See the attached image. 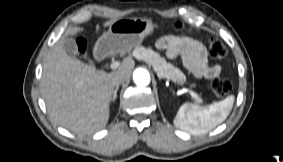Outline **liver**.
<instances>
[{
	"label": "liver",
	"instance_id": "6515ba94",
	"mask_svg": "<svg viewBox=\"0 0 283 162\" xmlns=\"http://www.w3.org/2000/svg\"><path fill=\"white\" fill-rule=\"evenodd\" d=\"M114 21H107L103 26H110ZM82 31L71 27L66 34ZM64 41L63 37L56 42L44 58L42 96L50 118L57 125L75 134H92L108 123L115 86L113 77L123 75L129 79L134 62L126 59L117 70L106 73L68 55Z\"/></svg>",
	"mask_w": 283,
	"mask_h": 162
}]
</instances>
